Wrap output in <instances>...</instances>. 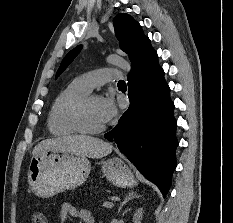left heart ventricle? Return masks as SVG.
Returning <instances> with one entry per match:
<instances>
[{
  "label": "left heart ventricle",
  "mask_w": 233,
  "mask_h": 223,
  "mask_svg": "<svg viewBox=\"0 0 233 223\" xmlns=\"http://www.w3.org/2000/svg\"><path fill=\"white\" fill-rule=\"evenodd\" d=\"M98 103H99V99L95 97L89 101L86 107V111L84 115V123L85 126L89 129H96L104 125L99 119Z\"/></svg>",
  "instance_id": "left-heart-ventricle-1"
}]
</instances>
